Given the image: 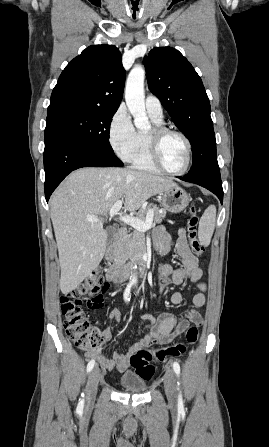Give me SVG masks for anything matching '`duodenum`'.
Returning <instances> with one entry per match:
<instances>
[{
    "mask_svg": "<svg viewBox=\"0 0 269 447\" xmlns=\"http://www.w3.org/2000/svg\"><path fill=\"white\" fill-rule=\"evenodd\" d=\"M125 229L124 228H118L114 233V242L112 246L109 248L107 255H106V278L109 281L115 282V283H121L123 281L128 280L133 275H143L146 272L147 269V255L145 252H140L137 259L135 260L134 266H124L120 263H115L112 260L113 252L115 249V246L120 242V240L125 235Z\"/></svg>",
    "mask_w": 269,
    "mask_h": 447,
    "instance_id": "duodenum-1",
    "label": "duodenum"
}]
</instances>
